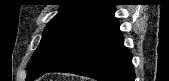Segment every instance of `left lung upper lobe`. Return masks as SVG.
Returning a JSON list of instances; mask_svg holds the SVG:
<instances>
[{"label":"left lung upper lobe","mask_w":169,"mask_h":81,"mask_svg":"<svg viewBox=\"0 0 169 81\" xmlns=\"http://www.w3.org/2000/svg\"><path fill=\"white\" fill-rule=\"evenodd\" d=\"M113 6L109 0H65L58 14L48 23L28 64L26 81L46 73L72 40Z\"/></svg>","instance_id":"left-lung-upper-lobe-1"}]
</instances>
